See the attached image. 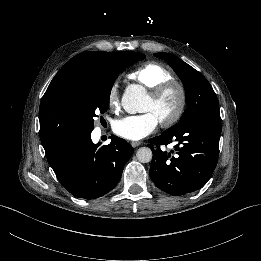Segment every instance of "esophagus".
I'll return each instance as SVG.
<instances>
[{
  "instance_id": "obj_1",
  "label": "esophagus",
  "mask_w": 261,
  "mask_h": 261,
  "mask_svg": "<svg viewBox=\"0 0 261 261\" xmlns=\"http://www.w3.org/2000/svg\"><path fill=\"white\" fill-rule=\"evenodd\" d=\"M131 145L136 148L138 147L139 145H141V141H132Z\"/></svg>"
}]
</instances>
